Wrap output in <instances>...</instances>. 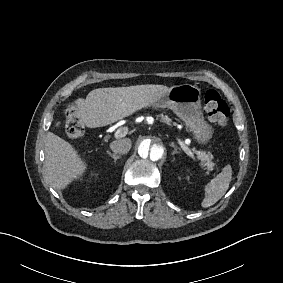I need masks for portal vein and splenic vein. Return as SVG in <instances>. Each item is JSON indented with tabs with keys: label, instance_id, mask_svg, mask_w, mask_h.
Returning a JSON list of instances; mask_svg holds the SVG:
<instances>
[{
	"label": "portal vein and splenic vein",
	"instance_id": "1",
	"mask_svg": "<svg viewBox=\"0 0 283 283\" xmlns=\"http://www.w3.org/2000/svg\"><path fill=\"white\" fill-rule=\"evenodd\" d=\"M124 130V128H119L116 133H115V137H119L120 133ZM187 140L185 142L181 141L180 139H178V143L181 146L182 150L190 157H194L192 151L186 146L187 144Z\"/></svg>",
	"mask_w": 283,
	"mask_h": 283
}]
</instances>
